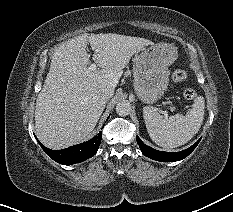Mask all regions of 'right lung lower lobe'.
Segmentation results:
<instances>
[{"label": "right lung lower lobe", "mask_w": 233, "mask_h": 212, "mask_svg": "<svg viewBox=\"0 0 233 212\" xmlns=\"http://www.w3.org/2000/svg\"><path fill=\"white\" fill-rule=\"evenodd\" d=\"M101 138L102 132H100L98 135H96L94 138L90 139L87 142L58 151L46 148L39 141L38 143L46 152V154L50 156L54 161L63 165H71L83 162L94 156L101 143Z\"/></svg>", "instance_id": "right-lung-lower-lobe-1"}]
</instances>
